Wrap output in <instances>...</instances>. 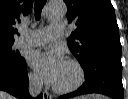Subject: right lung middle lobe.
<instances>
[{
  "mask_svg": "<svg viewBox=\"0 0 128 99\" xmlns=\"http://www.w3.org/2000/svg\"><path fill=\"white\" fill-rule=\"evenodd\" d=\"M13 42L0 43V65L14 67L22 61L18 51H12Z\"/></svg>",
  "mask_w": 128,
  "mask_h": 99,
  "instance_id": "dd1d6c3e",
  "label": "right lung middle lobe"
}]
</instances>
